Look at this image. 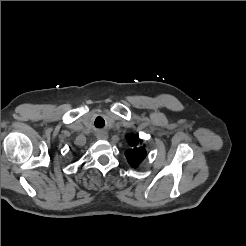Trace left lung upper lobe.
<instances>
[{
    "label": "left lung upper lobe",
    "mask_w": 246,
    "mask_h": 246,
    "mask_svg": "<svg viewBox=\"0 0 246 246\" xmlns=\"http://www.w3.org/2000/svg\"><path fill=\"white\" fill-rule=\"evenodd\" d=\"M127 139L132 148L127 150L125 155L129 164L136 168L146 157V149L139 145V142L134 135H127Z\"/></svg>",
    "instance_id": "left-lung-upper-lobe-1"
}]
</instances>
